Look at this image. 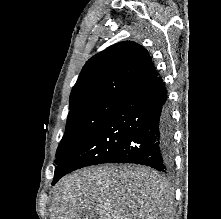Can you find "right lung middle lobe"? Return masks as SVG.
Returning a JSON list of instances; mask_svg holds the SVG:
<instances>
[{
  "instance_id": "obj_1",
  "label": "right lung middle lobe",
  "mask_w": 221,
  "mask_h": 219,
  "mask_svg": "<svg viewBox=\"0 0 221 219\" xmlns=\"http://www.w3.org/2000/svg\"><path fill=\"white\" fill-rule=\"evenodd\" d=\"M121 102L120 99L103 98L87 101L70 108L66 131L58 146L55 163L82 145Z\"/></svg>"
}]
</instances>
